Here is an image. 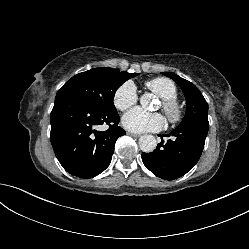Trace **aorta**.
Masks as SVG:
<instances>
[{"instance_id":"762f6f07","label":"aorta","mask_w":249,"mask_h":249,"mask_svg":"<svg viewBox=\"0 0 249 249\" xmlns=\"http://www.w3.org/2000/svg\"><path fill=\"white\" fill-rule=\"evenodd\" d=\"M152 102L151 94H144L140 97V104L143 108H148ZM157 146L156 138L153 135H143L139 138V147L143 152L149 153Z\"/></svg>"}]
</instances>
